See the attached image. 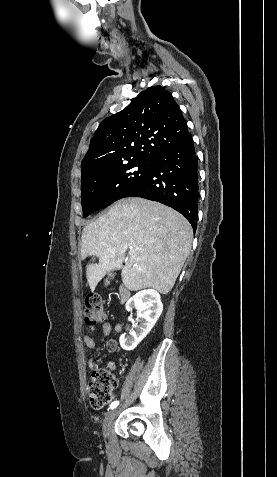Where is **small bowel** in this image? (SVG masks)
Instances as JSON below:
<instances>
[{"instance_id": "small-bowel-1", "label": "small bowel", "mask_w": 277, "mask_h": 477, "mask_svg": "<svg viewBox=\"0 0 277 477\" xmlns=\"http://www.w3.org/2000/svg\"><path fill=\"white\" fill-rule=\"evenodd\" d=\"M122 330V326L120 324L112 325L109 322H106L102 326V337L99 341H96L89 333L84 335V342L86 346L94 351V357L90 360V366L95 367L94 359L100 352V343L105 341V348L109 353H114L118 349V343L116 339L109 338V335L112 331L115 333H120Z\"/></svg>"}]
</instances>
